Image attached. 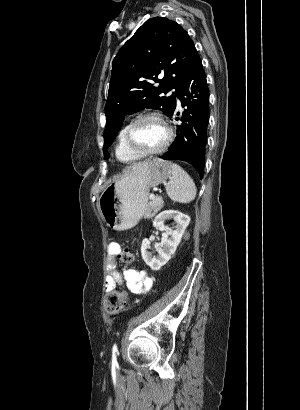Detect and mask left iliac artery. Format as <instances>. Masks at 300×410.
<instances>
[{
    "instance_id": "44dca946",
    "label": "left iliac artery",
    "mask_w": 300,
    "mask_h": 410,
    "mask_svg": "<svg viewBox=\"0 0 300 410\" xmlns=\"http://www.w3.org/2000/svg\"><path fill=\"white\" fill-rule=\"evenodd\" d=\"M118 352L117 345L114 344L112 348V360L115 362L116 361V353Z\"/></svg>"
}]
</instances>
